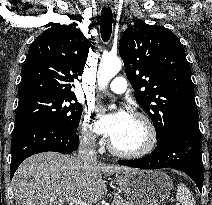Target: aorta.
<instances>
[{"label":"aorta","mask_w":212,"mask_h":205,"mask_svg":"<svg viewBox=\"0 0 212 205\" xmlns=\"http://www.w3.org/2000/svg\"><path fill=\"white\" fill-rule=\"evenodd\" d=\"M122 62L116 56H103L97 72L99 87L105 88L109 81L121 70Z\"/></svg>","instance_id":"1"}]
</instances>
